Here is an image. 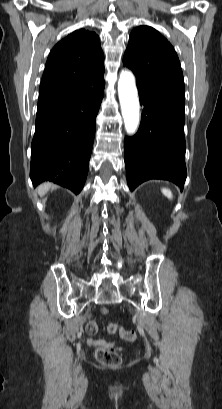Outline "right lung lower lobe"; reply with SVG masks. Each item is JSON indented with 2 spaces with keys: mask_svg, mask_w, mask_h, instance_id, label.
Here are the masks:
<instances>
[{
  "mask_svg": "<svg viewBox=\"0 0 222 409\" xmlns=\"http://www.w3.org/2000/svg\"><path fill=\"white\" fill-rule=\"evenodd\" d=\"M103 74L89 78L81 93L38 103L30 164L34 186L52 181L75 194L82 190L104 95Z\"/></svg>",
  "mask_w": 222,
  "mask_h": 409,
  "instance_id": "1",
  "label": "right lung lower lobe"
}]
</instances>
